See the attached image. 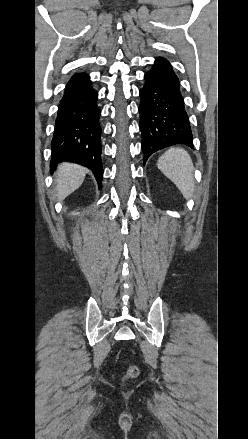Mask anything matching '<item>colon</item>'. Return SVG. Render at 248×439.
Here are the masks:
<instances>
[{
	"label": "colon",
	"instance_id": "5ec220e1",
	"mask_svg": "<svg viewBox=\"0 0 248 439\" xmlns=\"http://www.w3.org/2000/svg\"><path fill=\"white\" fill-rule=\"evenodd\" d=\"M138 374H139L138 368L136 366H131L128 369L127 377L128 378H136L138 376Z\"/></svg>",
	"mask_w": 248,
	"mask_h": 439
}]
</instances>
